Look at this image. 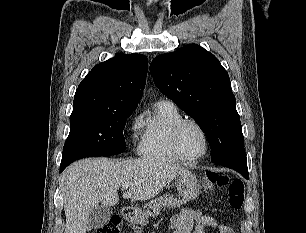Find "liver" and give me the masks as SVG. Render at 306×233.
<instances>
[{
	"instance_id": "liver-1",
	"label": "liver",
	"mask_w": 306,
	"mask_h": 233,
	"mask_svg": "<svg viewBox=\"0 0 306 233\" xmlns=\"http://www.w3.org/2000/svg\"><path fill=\"white\" fill-rule=\"evenodd\" d=\"M188 173L186 168L161 158L76 161L59 178L66 215L64 233H86L91 209L99 203L116 205L117 190L123 184H130L123 198L144 201L158 195L177 176Z\"/></svg>"
}]
</instances>
